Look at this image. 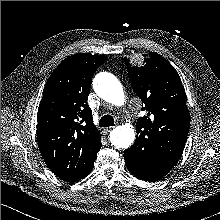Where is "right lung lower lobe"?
Masks as SVG:
<instances>
[{
  "instance_id": "obj_1",
  "label": "right lung lower lobe",
  "mask_w": 220,
  "mask_h": 220,
  "mask_svg": "<svg viewBox=\"0 0 220 220\" xmlns=\"http://www.w3.org/2000/svg\"><path fill=\"white\" fill-rule=\"evenodd\" d=\"M92 168H93V167H92ZM92 168L87 172V174H86L85 176H87V175L91 172ZM85 176H84V177H85ZM84 177H83V178H84Z\"/></svg>"
}]
</instances>
